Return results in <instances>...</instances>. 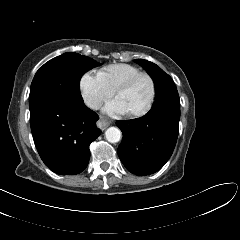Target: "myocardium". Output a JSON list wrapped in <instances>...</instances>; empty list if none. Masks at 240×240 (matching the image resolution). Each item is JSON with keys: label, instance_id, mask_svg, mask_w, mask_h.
Instances as JSON below:
<instances>
[{"label": "myocardium", "instance_id": "myocardium-1", "mask_svg": "<svg viewBox=\"0 0 240 240\" xmlns=\"http://www.w3.org/2000/svg\"><path fill=\"white\" fill-rule=\"evenodd\" d=\"M141 77H147L150 80L151 85H152V93H151V97L145 107H143L141 110H138V111L129 112V115L132 117H142L151 110V108L154 104L155 98H156V93H157V86H156V81H155L154 77L147 72H140V73L130 77L126 81H124L115 90V95L118 96L121 92L130 88Z\"/></svg>", "mask_w": 240, "mask_h": 240}]
</instances>
